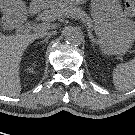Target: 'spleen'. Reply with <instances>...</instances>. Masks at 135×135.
I'll return each mask as SVG.
<instances>
[{"instance_id":"obj_1","label":"spleen","mask_w":135,"mask_h":135,"mask_svg":"<svg viewBox=\"0 0 135 135\" xmlns=\"http://www.w3.org/2000/svg\"><path fill=\"white\" fill-rule=\"evenodd\" d=\"M113 83L117 90L128 91L135 87V58L119 64L113 72Z\"/></svg>"}]
</instances>
